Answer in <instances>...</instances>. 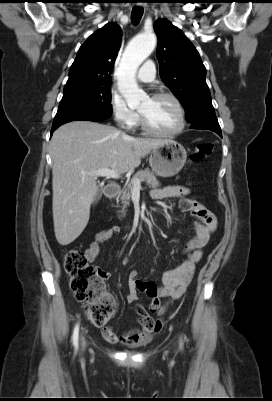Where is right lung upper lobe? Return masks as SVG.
I'll use <instances>...</instances> for the list:
<instances>
[{"label":"right lung upper lobe","mask_w":272,"mask_h":401,"mask_svg":"<svg viewBox=\"0 0 272 401\" xmlns=\"http://www.w3.org/2000/svg\"><path fill=\"white\" fill-rule=\"evenodd\" d=\"M121 37V29L116 23H108L93 33L80 47L64 91L111 83Z\"/></svg>","instance_id":"cb5924a9"}]
</instances>
